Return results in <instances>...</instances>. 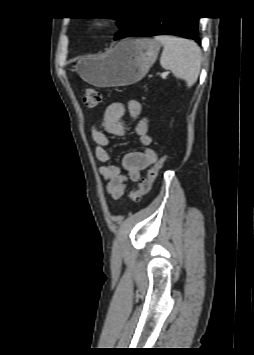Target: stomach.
<instances>
[{
    "mask_svg": "<svg viewBox=\"0 0 254 355\" xmlns=\"http://www.w3.org/2000/svg\"><path fill=\"white\" fill-rule=\"evenodd\" d=\"M160 47L154 39L127 38L118 42L104 57L80 58L74 70L84 81L95 86L131 85L145 77Z\"/></svg>",
    "mask_w": 254,
    "mask_h": 355,
    "instance_id": "0dacf381",
    "label": "stomach"
}]
</instances>
